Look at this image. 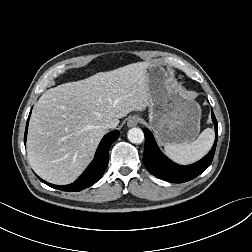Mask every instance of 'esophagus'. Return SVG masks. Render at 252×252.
I'll return each mask as SVG.
<instances>
[{
	"instance_id": "34e87169",
	"label": "esophagus",
	"mask_w": 252,
	"mask_h": 252,
	"mask_svg": "<svg viewBox=\"0 0 252 252\" xmlns=\"http://www.w3.org/2000/svg\"><path fill=\"white\" fill-rule=\"evenodd\" d=\"M139 123V117L138 116H132L128 120V127H135Z\"/></svg>"
}]
</instances>
